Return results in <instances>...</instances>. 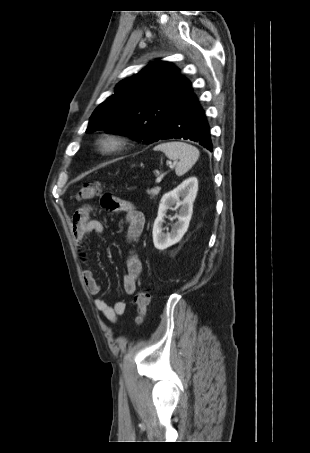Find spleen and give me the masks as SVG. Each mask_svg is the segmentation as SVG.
Masks as SVG:
<instances>
[{"label": "spleen", "instance_id": "spleen-1", "mask_svg": "<svg viewBox=\"0 0 310 453\" xmlns=\"http://www.w3.org/2000/svg\"><path fill=\"white\" fill-rule=\"evenodd\" d=\"M154 150L162 151L170 160L179 159L175 168L177 176L188 172L200 156L199 150L195 146L178 141L159 144L155 146Z\"/></svg>", "mask_w": 310, "mask_h": 453}]
</instances>
